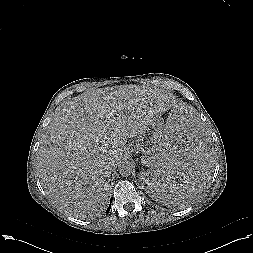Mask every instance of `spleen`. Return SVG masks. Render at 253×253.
Returning a JSON list of instances; mask_svg holds the SVG:
<instances>
[{
    "instance_id": "spleen-1",
    "label": "spleen",
    "mask_w": 253,
    "mask_h": 253,
    "mask_svg": "<svg viewBox=\"0 0 253 253\" xmlns=\"http://www.w3.org/2000/svg\"><path fill=\"white\" fill-rule=\"evenodd\" d=\"M211 165L204 117L192 109L176 112L159 135L139 176L143 192L164 204L192 199L205 185Z\"/></svg>"
}]
</instances>
